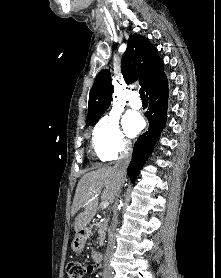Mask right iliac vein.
I'll return each mask as SVG.
<instances>
[{"label": "right iliac vein", "instance_id": "obj_1", "mask_svg": "<svg viewBox=\"0 0 221 278\" xmlns=\"http://www.w3.org/2000/svg\"><path fill=\"white\" fill-rule=\"evenodd\" d=\"M105 278H113V277H112V275H108V276H106Z\"/></svg>", "mask_w": 221, "mask_h": 278}]
</instances>
